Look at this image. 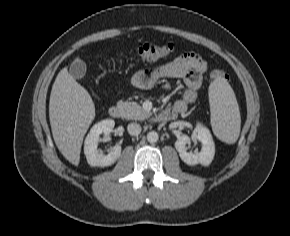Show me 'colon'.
Masks as SVG:
<instances>
[{
  "label": "colon",
  "instance_id": "colon-1",
  "mask_svg": "<svg viewBox=\"0 0 290 236\" xmlns=\"http://www.w3.org/2000/svg\"><path fill=\"white\" fill-rule=\"evenodd\" d=\"M174 50V45L168 44H144L137 48L134 55L143 61H153L169 56ZM213 80L225 79L227 75L224 71L215 69L210 73Z\"/></svg>",
  "mask_w": 290,
  "mask_h": 236
}]
</instances>
